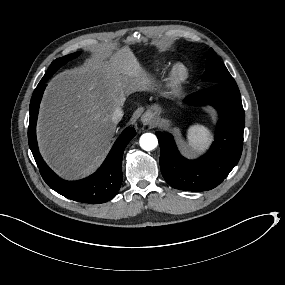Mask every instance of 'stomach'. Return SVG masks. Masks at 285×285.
Returning a JSON list of instances; mask_svg holds the SVG:
<instances>
[{
    "label": "stomach",
    "mask_w": 285,
    "mask_h": 285,
    "mask_svg": "<svg viewBox=\"0 0 285 285\" xmlns=\"http://www.w3.org/2000/svg\"><path fill=\"white\" fill-rule=\"evenodd\" d=\"M161 107L158 104H154L150 107L149 110H147V112H151L154 116L158 113L161 112Z\"/></svg>",
    "instance_id": "1"
}]
</instances>
